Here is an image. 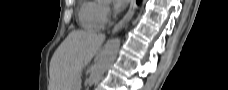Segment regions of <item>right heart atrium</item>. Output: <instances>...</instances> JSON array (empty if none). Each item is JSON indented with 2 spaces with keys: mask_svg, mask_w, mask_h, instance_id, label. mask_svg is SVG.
Segmentation results:
<instances>
[{
  "mask_svg": "<svg viewBox=\"0 0 228 90\" xmlns=\"http://www.w3.org/2000/svg\"><path fill=\"white\" fill-rule=\"evenodd\" d=\"M111 15V8L109 3L105 0H101L97 5V17L99 22L103 25L109 21Z\"/></svg>",
  "mask_w": 228,
  "mask_h": 90,
  "instance_id": "d8ad5b80",
  "label": "right heart atrium"
}]
</instances>
